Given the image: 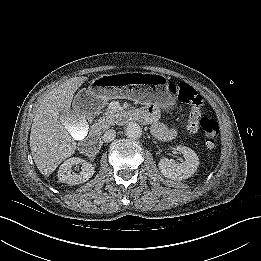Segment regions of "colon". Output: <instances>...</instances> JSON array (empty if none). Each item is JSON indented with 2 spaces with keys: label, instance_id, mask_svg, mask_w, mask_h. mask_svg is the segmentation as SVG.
Listing matches in <instances>:
<instances>
[{
  "label": "colon",
  "instance_id": "5ec220e1",
  "mask_svg": "<svg viewBox=\"0 0 261 261\" xmlns=\"http://www.w3.org/2000/svg\"><path fill=\"white\" fill-rule=\"evenodd\" d=\"M171 91L181 102L190 105L188 133L195 135L201 129L206 148L212 150L219 135V126L214 119L202 116L203 97L192 86L183 82L172 85Z\"/></svg>",
  "mask_w": 261,
  "mask_h": 261
}]
</instances>
